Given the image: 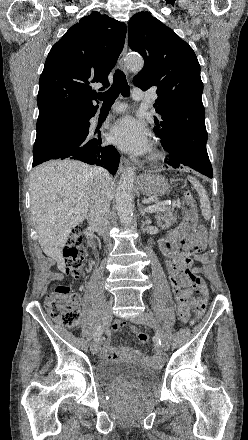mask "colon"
<instances>
[{
	"label": "colon",
	"mask_w": 248,
	"mask_h": 440,
	"mask_svg": "<svg viewBox=\"0 0 248 440\" xmlns=\"http://www.w3.org/2000/svg\"><path fill=\"white\" fill-rule=\"evenodd\" d=\"M184 197L188 208V220L197 223V207L191 190L186 189L184 191ZM82 240L80 228L74 227L63 251L67 273L75 278L83 276L86 272ZM191 281L195 294L192 323L195 324L204 314L207 289L204 280L200 276H192ZM78 308L79 296L71 289L69 284L57 285L49 292L45 299V309L50 318L54 322L67 328H75L78 326L80 321ZM137 339L139 342L146 344L149 342L150 337L146 332L141 331L137 333Z\"/></svg>",
	"instance_id": "colon-1"
}]
</instances>
